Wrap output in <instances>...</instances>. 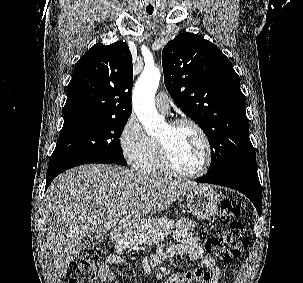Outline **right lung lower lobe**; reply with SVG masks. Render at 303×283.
<instances>
[{
	"mask_svg": "<svg viewBox=\"0 0 303 283\" xmlns=\"http://www.w3.org/2000/svg\"><path fill=\"white\" fill-rule=\"evenodd\" d=\"M89 163L112 164L114 162L105 161V160H78V161H69V162H62L54 165H49L47 170L45 190L48 188L52 180L63 171H66L67 169H70L78 165L89 164Z\"/></svg>",
	"mask_w": 303,
	"mask_h": 283,
	"instance_id": "obj_1",
	"label": "right lung lower lobe"
}]
</instances>
